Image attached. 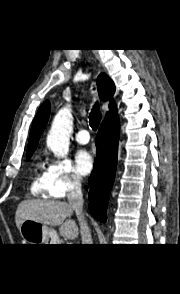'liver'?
Returning <instances> with one entry per match:
<instances>
[{
	"label": "liver",
	"mask_w": 180,
	"mask_h": 294,
	"mask_svg": "<svg viewBox=\"0 0 180 294\" xmlns=\"http://www.w3.org/2000/svg\"><path fill=\"white\" fill-rule=\"evenodd\" d=\"M74 209L69 203L58 200L32 199L19 203L15 213L18 229L25 220H33L50 226H60V234L75 239L79 234L78 226L71 217Z\"/></svg>",
	"instance_id": "liver-1"
}]
</instances>
